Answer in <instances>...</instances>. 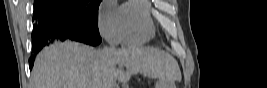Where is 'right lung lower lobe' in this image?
Returning <instances> with one entry per match:
<instances>
[{"instance_id":"1","label":"right lung lower lobe","mask_w":267,"mask_h":88,"mask_svg":"<svg viewBox=\"0 0 267 88\" xmlns=\"http://www.w3.org/2000/svg\"><path fill=\"white\" fill-rule=\"evenodd\" d=\"M33 20H35L32 33L34 53L58 40H75L92 46L101 42L97 27L87 26L58 7L48 5L45 0H41L40 4L34 7ZM29 67L32 69V62Z\"/></svg>"}]
</instances>
